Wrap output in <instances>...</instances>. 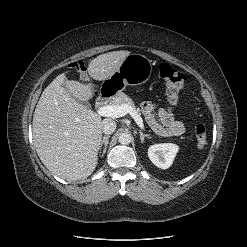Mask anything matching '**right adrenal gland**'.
Segmentation results:
<instances>
[{
	"instance_id": "obj_1",
	"label": "right adrenal gland",
	"mask_w": 247,
	"mask_h": 247,
	"mask_svg": "<svg viewBox=\"0 0 247 247\" xmlns=\"http://www.w3.org/2000/svg\"><path fill=\"white\" fill-rule=\"evenodd\" d=\"M109 137H110L109 135L104 136L103 139H102V141H101V143H100V149L104 145L102 156H104V154L106 153Z\"/></svg>"
}]
</instances>
